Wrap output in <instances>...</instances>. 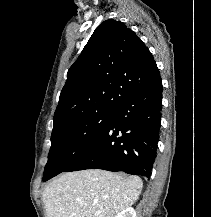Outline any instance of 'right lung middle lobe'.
<instances>
[{"mask_svg": "<svg viewBox=\"0 0 211 217\" xmlns=\"http://www.w3.org/2000/svg\"><path fill=\"white\" fill-rule=\"evenodd\" d=\"M115 110H99L69 119L53 127L51 148L43 181L66 171L103 136Z\"/></svg>", "mask_w": 211, "mask_h": 217, "instance_id": "1", "label": "right lung middle lobe"}]
</instances>
